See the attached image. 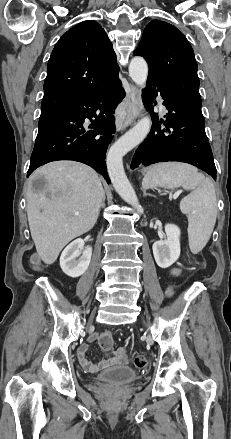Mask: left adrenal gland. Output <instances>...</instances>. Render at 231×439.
<instances>
[{
    "label": "left adrenal gland",
    "mask_w": 231,
    "mask_h": 439,
    "mask_svg": "<svg viewBox=\"0 0 231 439\" xmlns=\"http://www.w3.org/2000/svg\"><path fill=\"white\" fill-rule=\"evenodd\" d=\"M143 194H144V196H146L147 195L146 191H143Z\"/></svg>",
    "instance_id": "obj_1"
}]
</instances>
